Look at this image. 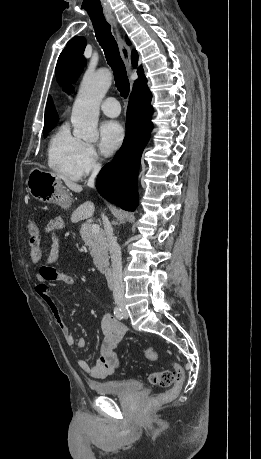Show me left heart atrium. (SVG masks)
<instances>
[{
	"label": "left heart atrium",
	"mask_w": 261,
	"mask_h": 459,
	"mask_svg": "<svg viewBox=\"0 0 261 459\" xmlns=\"http://www.w3.org/2000/svg\"><path fill=\"white\" fill-rule=\"evenodd\" d=\"M124 129L117 121H105L100 127V148L105 156L112 155L121 146Z\"/></svg>",
	"instance_id": "left-heart-atrium-1"
}]
</instances>
